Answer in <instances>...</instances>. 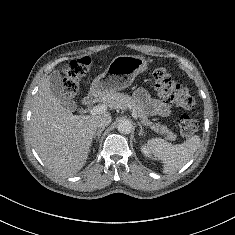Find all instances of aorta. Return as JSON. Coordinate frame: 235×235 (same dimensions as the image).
I'll return each mask as SVG.
<instances>
[{"instance_id":"1","label":"aorta","mask_w":235,"mask_h":235,"mask_svg":"<svg viewBox=\"0 0 235 235\" xmlns=\"http://www.w3.org/2000/svg\"><path fill=\"white\" fill-rule=\"evenodd\" d=\"M118 131L122 134H129L132 131V123L128 119H122L117 124Z\"/></svg>"}]
</instances>
